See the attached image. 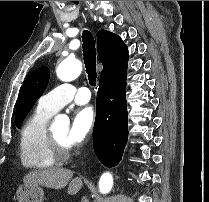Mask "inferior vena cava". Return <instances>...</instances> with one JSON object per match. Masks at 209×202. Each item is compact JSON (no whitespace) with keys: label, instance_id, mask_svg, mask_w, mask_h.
Returning a JSON list of instances; mask_svg holds the SVG:
<instances>
[{"label":"inferior vena cava","instance_id":"1","mask_svg":"<svg viewBox=\"0 0 209 202\" xmlns=\"http://www.w3.org/2000/svg\"><path fill=\"white\" fill-rule=\"evenodd\" d=\"M81 202H89V200L87 199V197H83Z\"/></svg>","mask_w":209,"mask_h":202}]
</instances>
